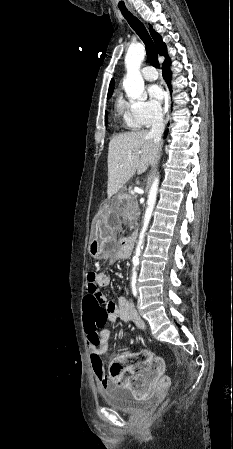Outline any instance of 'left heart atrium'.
<instances>
[{"mask_svg":"<svg viewBox=\"0 0 233 449\" xmlns=\"http://www.w3.org/2000/svg\"><path fill=\"white\" fill-rule=\"evenodd\" d=\"M148 94L154 102H160L163 98V92L158 85H151L148 87Z\"/></svg>","mask_w":233,"mask_h":449,"instance_id":"1","label":"left heart atrium"}]
</instances>
